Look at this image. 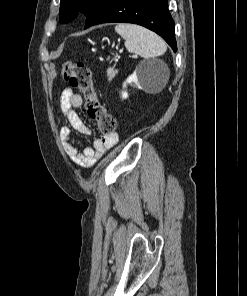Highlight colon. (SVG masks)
Listing matches in <instances>:
<instances>
[{
    "label": "colon",
    "instance_id": "colon-1",
    "mask_svg": "<svg viewBox=\"0 0 247 296\" xmlns=\"http://www.w3.org/2000/svg\"><path fill=\"white\" fill-rule=\"evenodd\" d=\"M62 76L83 93L87 115L97 123L99 131L105 136L114 134L116 121L98 98L90 68L83 62H67L63 66Z\"/></svg>",
    "mask_w": 247,
    "mask_h": 296
}]
</instances>
